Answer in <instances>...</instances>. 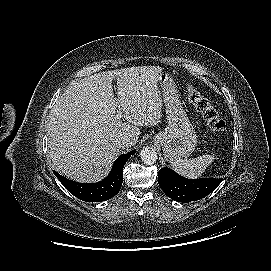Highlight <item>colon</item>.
<instances>
[{"mask_svg": "<svg viewBox=\"0 0 271 271\" xmlns=\"http://www.w3.org/2000/svg\"><path fill=\"white\" fill-rule=\"evenodd\" d=\"M188 95L190 101L195 107L202 113L203 118L206 121L208 128L216 133L223 132L226 128V124L223 119L220 118L216 109L212 106L210 101L205 98L195 87L189 86Z\"/></svg>", "mask_w": 271, "mask_h": 271, "instance_id": "colon-1", "label": "colon"}]
</instances>
